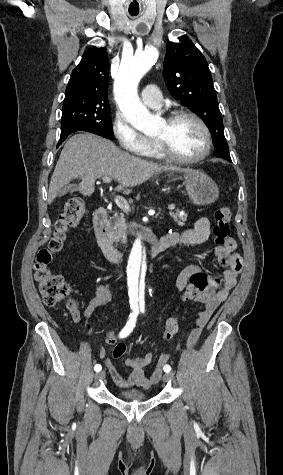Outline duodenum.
Here are the masks:
<instances>
[{
  "mask_svg": "<svg viewBox=\"0 0 283 475\" xmlns=\"http://www.w3.org/2000/svg\"><path fill=\"white\" fill-rule=\"evenodd\" d=\"M93 226L97 244L99 245L105 257L113 262L120 261L122 259V253L113 246L109 237V213L107 209L99 208L95 211L93 217ZM172 245L173 242L169 236L165 235L162 238L154 241L147 249V253L150 257H153Z\"/></svg>",
  "mask_w": 283,
  "mask_h": 475,
  "instance_id": "duodenum-1",
  "label": "duodenum"
}]
</instances>
